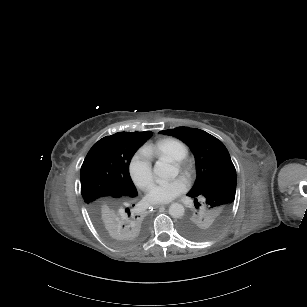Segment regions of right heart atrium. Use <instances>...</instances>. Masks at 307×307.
<instances>
[{
    "mask_svg": "<svg viewBox=\"0 0 307 307\" xmlns=\"http://www.w3.org/2000/svg\"><path fill=\"white\" fill-rule=\"evenodd\" d=\"M129 174L135 184L142 186L152 177L151 157L144 150L134 152L128 162Z\"/></svg>",
    "mask_w": 307,
    "mask_h": 307,
    "instance_id": "1",
    "label": "right heart atrium"
}]
</instances>
